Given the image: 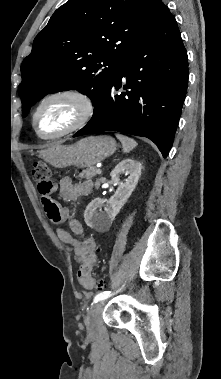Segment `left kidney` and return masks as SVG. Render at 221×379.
Wrapping results in <instances>:
<instances>
[{"label":"left kidney","mask_w":221,"mask_h":379,"mask_svg":"<svg viewBox=\"0 0 221 379\" xmlns=\"http://www.w3.org/2000/svg\"><path fill=\"white\" fill-rule=\"evenodd\" d=\"M141 170V163L133 159L128 158L117 164L110 176L118 188L109 201L94 199L88 204L84 212V220L88 226L101 229L113 222L135 189ZM122 174L128 175L124 182L120 181Z\"/></svg>","instance_id":"1"}]
</instances>
